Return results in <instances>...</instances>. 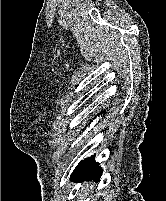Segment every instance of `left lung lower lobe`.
Wrapping results in <instances>:
<instances>
[{
  "label": "left lung lower lobe",
  "mask_w": 166,
  "mask_h": 201,
  "mask_svg": "<svg viewBox=\"0 0 166 201\" xmlns=\"http://www.w3.org/2000/svg\"><path fill=\"white\" fill-rule=\"evenodd\" d=\"M95 156H91L79 163L71 175V179L80 180L87 178L99 180L102 175V169L99 167V163L94 161Z\"/></svg>",
  "instance_id": "obj_1"
}]
</instances>
